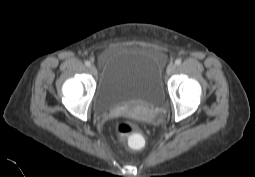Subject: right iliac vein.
Instances as JSON below:
<instances>
[{
	"instance_id": "63e3f726",
	"label": "right iliac vein",
	"mask_w": 255,
	"mask_h": 177,
	"mask_svg": "<svg viewBox=\"0 0 255 177\" xmlns=\"http://www.w3.org/2000/svg\"><path fill=\"white\" fill-rule=\"evenodd\" d=\"M89 70L92 73V75H94V76H96L98 73L96 67L93 65L89 67Z\"/></svg>"
}]
</instances>
